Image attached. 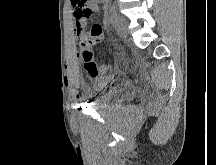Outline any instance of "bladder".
I'll return each instance as SVG.
<instances>
[{"label":"bladder","instance_id":"obj_1","mask_svg":"<svg viewBox=\"0 0 216 165\" xmlns=\"http://www.w3.org/2000/svg\"><path fill=\"white\" fill-rule=\"evenodd\" d=\"M119 76H100L95 79L94 87L96 96L92 101V107L95 109H106L110 106L118 94V90L113 86H118Z\"/></svg>","mask_w":216,"mask_h":165}]
</instances>
